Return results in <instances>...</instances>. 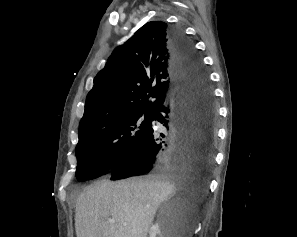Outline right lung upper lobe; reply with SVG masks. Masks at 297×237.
I'll return each mask as SVG.
<instances>
[{
    "label": "right lung upper lobe",
    "instance_id": "1",
    "mask_svg": "<svg viewBox=\"0 0 297 237\" xmlns=\"http://www.w3.org/2000/svg\"><path fill=\"white\" fill-rule=\"evenodd\" d=\"M170 27L148 22L117 47L88 93L79 134L95 123L136 112H154L177 89Z\"/></svg>",
    "mask_w": 297,
    "mask_h": 237
}]
</instances>
